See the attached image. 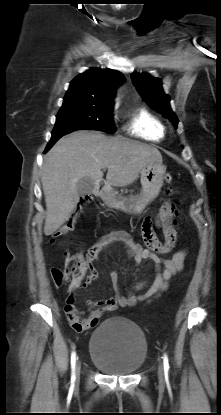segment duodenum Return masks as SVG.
<instances>
[{"mask_svg":"<svg viewBox=\"0 0 221 415\" xmlns=\"http://www.w3.org/2000/svg\"><path fill=\"white\" fill-rule=\"evenodd\" d=\"M106 190V185L104 181H98L95 183L93 191H92V195L93 196H101L104 194Z\"/></svg>","mask_w":221,"mask_h":415,"instance_id":"410a0bca","label":"duodenum"}]
</instances>
